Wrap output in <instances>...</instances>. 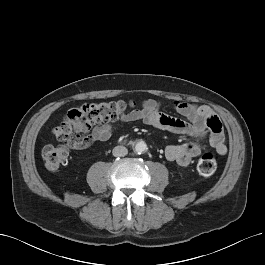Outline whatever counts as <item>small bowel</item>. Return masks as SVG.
Segmentation results:
<instances>
[{
  "label": "small bowel",
  "instance_id": "c3829d8e",
  "mask_svg": "<svg viewBox=\"0 0 265 265\" xmlns=\"http://www.w3.org/2000/svg\"><path fill=\"white\" fill-rule=\"evenodd\" d=\"M162 104L154 99H146L142 102L141 109L129 112L122 123L142 122L146 125L166 130L173 133L188 135L197 139L204 138L210 131V142L212 147L221 155L226 154L227 147L224 143L222 133L216 135L209 127V118L215 116L208 106H199L182 101H174L173 108L186 121L168 116L161 112ZM115 128L112 123H104L96 126L84 144L72 143V149H85L94 142H106ZM200 152L197 143L172 144L166 147L165 157L168 161L180 166H187Z\"/></svg>",
  "mask_w": 265,
  "mask_h": 265
}]
</instances>
